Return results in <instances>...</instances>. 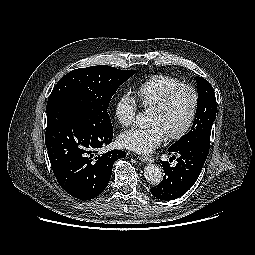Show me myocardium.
<instances>
[{
  "mask_svg": "<svg viewBox=\"0 0 255 255\" xmlns=\"http://www.w3.org/2000/svg\"><path fill=\"white\" fill-rule=\"evenodd\" d=\"M181 90H188L193 97V105H192V110L189 115V118L185 125L177 132L175 133H168L166 134L167 138L169 140H179L183 138L193 127L194 122L196 120L198 110H199V103H200V97L198 90L189 84H179L169 91H167L163 97L152 107V109L157 110V111H164L168 105L170 104L171 100L173 97Z\"/></svg>",
  "mask_w": 255,
  "mask_h": 255,
  "instance_id": "f54148a6",
  "label": "myocardium"
}]
</instances>
